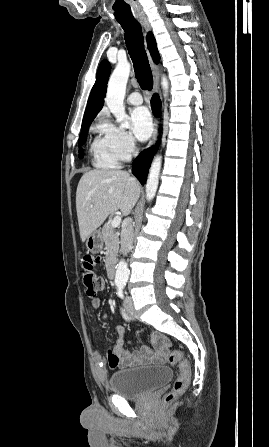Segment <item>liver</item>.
Wrapping results in <instances>:
<instances>
[{
    "label": "liver",
    "instance_id": "1",
    "mask_svg": "<svg viewBox=\"0 0 269 447\" xmlns=\"http://www.w3.org/2000/svg\"><path fill=\"white\" fill-rule=\"evenodd\" d=\"M140 184L127 172L90 170L83 174L76 192V210L82 241L120 210L128 216L140 198Z\"/></svg>",
    "mask_w": 269,
    "mask_h": 447
}]
</instances>
